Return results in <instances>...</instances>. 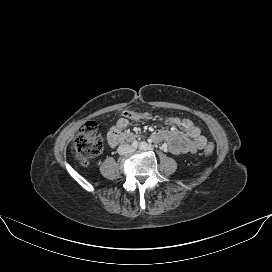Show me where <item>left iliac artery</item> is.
I'll use <instances>...</instances> for the list:
<instances>
[{
  "label": "left iliac artery",
  "mask_w": 272,
  "mask_h": 272,
  "mask_svg": "<svg viewBox=\"0 0 272 272\" xmlns=\"http://www.w3.org/2000/svg\"><path fill=\"white\" fill-rule=\"evenodd\" d=\"M139 147L142 150H147L148 149V144L146 142H141Z\"/></svg>",
  "instance_id": "1"
}]
</instances>
